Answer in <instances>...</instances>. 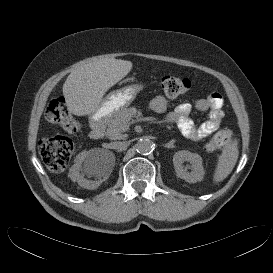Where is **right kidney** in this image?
Instances as JSON below:
<instances>
[{"instance_id":"ca27d5eb","label":"right kidney","mask_w":273,"mask_h":273,"mask_svg":"<svg viewBox=\"0 0 273 273\" xmlns=\"http://www.w3.org/2000/svg\"><path fill=\"white\" fill-rule=\"evenodd\" d=\"M113 164V159L96 160L92 153L82 152L76 157L75 164L70 168L69 177L83 188L95 189L100 182L88 181L84 176L107 178L112 172Z\"/></svg>"}]
</instances>
